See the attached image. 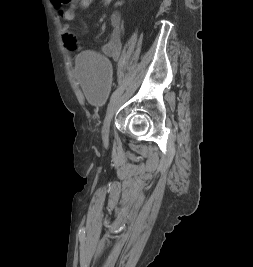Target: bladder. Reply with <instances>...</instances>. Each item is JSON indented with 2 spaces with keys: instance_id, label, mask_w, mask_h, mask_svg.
Here are the masks:
<instances>
[{
  "instance_id": "bladder-1",
  "label": "bladder",
  "mask_w": 253,
  "mask_h": 267,
  "mask_svg": "<svg viewBox=\"0 0 253 267\" xmlns=\"http://www.w3.org/2000/svg\"><path fill=\"white\" fill-rule=\"evenodd\" d=\"M74 72L86 98L101 106L111 88L110 65L107 58L98 52L84 51L76 58Z\"/></svg>"
}]
</instances>
